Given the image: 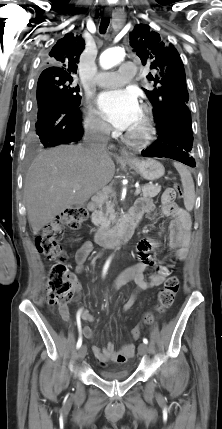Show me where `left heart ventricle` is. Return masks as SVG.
I'll list each match as a JSON object with an SVG mask.
<instances>
[{
	"label": "left heart ventricle",
	"mask_w": 222,
	"mask_h": 429,
	"mask_svg": "<svg viewBox=\"0 0 222 429\" xmlns=\"http://www.w3.org/2000/svg\"><path fill=\"white\" fill-rule=\"evenodd\" d=\"M140 123H141V114H140L138 121L136 122V124L131 129H136L140 125Z\"/></svg>",
	"instance_id": "b2bd125f"
}]
</instances>
